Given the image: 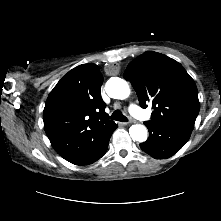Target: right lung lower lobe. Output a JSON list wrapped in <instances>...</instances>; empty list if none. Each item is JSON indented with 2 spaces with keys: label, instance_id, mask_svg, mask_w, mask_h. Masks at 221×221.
I'll return each instance as SVG.
<instances>
[{
  "label": "right lung lower lobe",
  "instance_id": "1",
  "mask_svg": "<svg viewBox=\"0 0 221 221\" xmlns=\"http://www.w3.org/2000/svg\"><path fill=\"white\" fill-rule=\"evenodd\" d=\"M116 128L117 124L113 125L100 135L90 148L69 162L76 165H88L100 159L106 153L110 137Z\"/></svg>",
  "mask_w": 221,
  "mask_h": 221
}]
</instances>
